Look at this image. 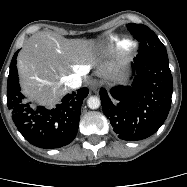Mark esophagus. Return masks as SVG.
<instances>
[{"label":"esophagus","instance_id":"obj_1","mask_svg":"<svg viewBox=\"0 0 187 187\" xmlns=\"http://www.w3.org/2000/svg\"><path fill=\"white\" fill-rule=\"evenodd\" d=\"M90 88L93 90V91H96L97 89H99L100 88V86H101V83L99 82V81H97V80H91L90 81Z\"/></svg>","mask_w":187,"mask_h":187}]
</instances>
